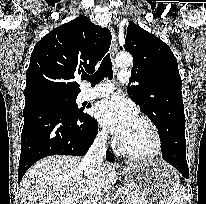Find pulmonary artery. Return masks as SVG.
Masks as SVG:
<instances>
[{
    "label": "pulmonary artery",
    "instance_id": "obj_1",
    "mask_svg": "<svg viewBox=\"0 0 206 204\" xmlns=\"http://www.w3.org/2000/svg\"><path fill=\"white\" fill-rule=\"evenodd\" d=\"M118 78L121 82H127L129 79L128 71H120L118 73ZM114 90L111 83H103L95 86L94 88L87 89L83 92L82 98L84 100H90L98 97H103L110 94Z\"/></svg>",
    "mask_w": 206,
    "mask_h": 204
}]
</instances>
